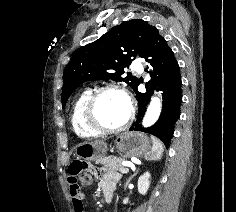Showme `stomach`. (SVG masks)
Wrapping results in <instances>:
<instances>
[{"mask_svg": "<svg viewBox=\"0 0 236 212\" xmlns=\"http://www.w3.org/2000/svg\"><path fill=\"white\" fill-rule=\"evenodd\" d=\"M115 145L119 154L126 158L144 156L151 149L149 137L139 132H125L118 135ZM106 148V144L80 143L75 148V156L79 159L97 162L105 156Z\"/></svg>", "mask_w": 236, "mask_h": 212, "instance_id": "1", "label": "stomach"}]
</instances>
